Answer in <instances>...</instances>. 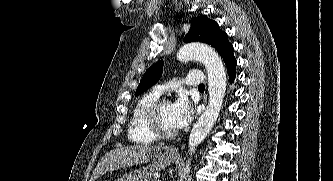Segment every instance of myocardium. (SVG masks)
<instances>
[{
	"label": "myocardium",
	"instance_id": "obj_1",
	"mask_svg": "<svg viewBox=\"0 0 333 181\" xmlns=\"http://www.w3.org/2000/svg\"><path fill=\"white\" fill-rule=\"evenodd\" d=\"M171 104V101L166 98H161L155 101L146 113V124L151 134L156 138L169 139L177 135V131H167L160 123V113L165 105Z\"/></svg>",
	"mask_w": 333,
	"mask_h": 181
}]
</instances>
